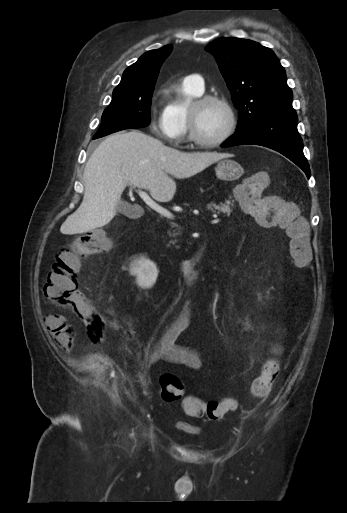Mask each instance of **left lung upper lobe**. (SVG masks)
<instances>
[{
	"instance_id": "1",
	"label": "left lung upper lobe",
	"mask_w": 347,
	"mask_h": 513,
	"mask_svg": "<svg viewBox=\"0 0 347 513\" xmlns=\"http://www.w3.org/2000/svg\"><path fill=\"white\" fill-rule=\"evenodd\" d=\"M239 110L236 133L273 115L296 114L285 70L274 52L257 42L239 38H218L206 46Z\"/></svg>"
}]
</instances>
